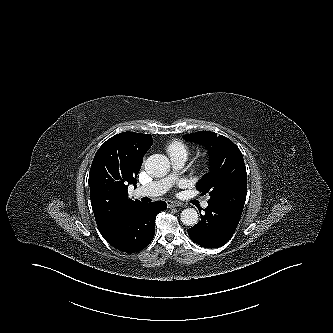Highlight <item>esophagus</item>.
<instances>
[{
    "label": "esophagus",
    "mask_w": 333,
    "mask_h": 333,
    "mask_svg": "<svg viewBox=\"0 0 333 333\" xmlns=\"http://www.w3.org/2000/svg\"><path fill=\"white\" fill-rule=\"evenodd\" d=\"M168 208L178 207L181 206V203L175 201H167Z\"/></svg>",
    "instance_id": "1"
}]
</instances>
